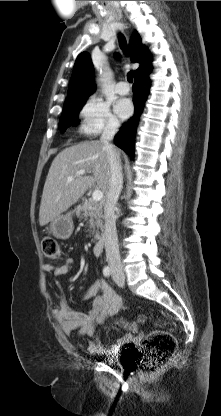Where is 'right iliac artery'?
Masks as SVG:
<instances>
[{"instance_id":"82829eb1","label":"right iliac artery","mask_w":221,"mask_h":416,"mask_svg":"<svg viewBox=\"0 0 221 416\" xmlns=\"http://www.w3.org/2000/svg\"><path fill=\"white\" fill-rule=\"evenodd\" d=\"M103 274H104V276H106V277H109V276H110V274H111V269H110V267H109V266L104 267V269H103Z\"/></svg>"}]
</instances>
